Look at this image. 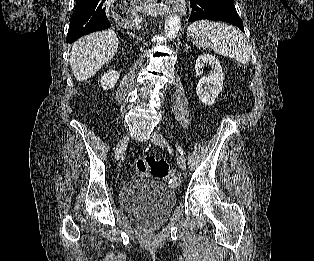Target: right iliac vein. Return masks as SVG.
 I'll return each mask as SVG.
<instances>
[{
  "instance_id": "obj_1",
  "label": "right iliac vein",
  "mask_w": 314,
  "mask_h": 261,
  "mask_svg": "<svg viewBox=\"0 0 314 261\" xmlns=\"http://www.w3.org/2000/svg\"><path fill=\"white\" fill-rule=\"evenodd\" d=\"M128 140H129L128 136H124L119 141V143H118V145L116 147V151H115V158H116V160H119L120 157L122 156V153H123L124 149L126 148Z\"/></svg>"
}]
</instances>
